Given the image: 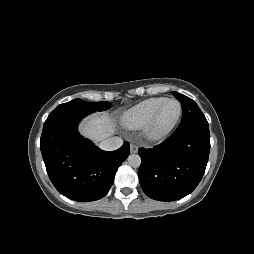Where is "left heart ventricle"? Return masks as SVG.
Instances as JSON below:
<instances>
[{"label":"left heart ventricle","mask_w":254,"mask_h":254,"mask_svg":"<svg viewBox=\"0 0 254 254\" xmlns=\"http://www.w3.org/2000/svg\"><path fill=\"white\" fill-rule=\"evenodd\" d=\"M178 105L175 102H167L160 113L157 121V128L163 129L168 127L176 118L178 114Z\"/></svg>","instance_id":"obj_1"}]
</instances>
